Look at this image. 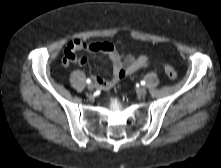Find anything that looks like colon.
<instances>
[{"label":"colon","mask_w":221,"mask_h":168,"mask_svg":"<svg viewBox=\"0 0 221 168\" xmlns=\"http://www.w3.org/2000/svg\"><path fill=\"white\" fill-rule=\"evenodd\" d=\"M164 70H165L166 75H167L170 79L174 80V79L177 78V73H176V71L174 70V68H173L172 66H170V65H165Z\"/></svg>","instance_id":"colon-1"}]
</instances>
